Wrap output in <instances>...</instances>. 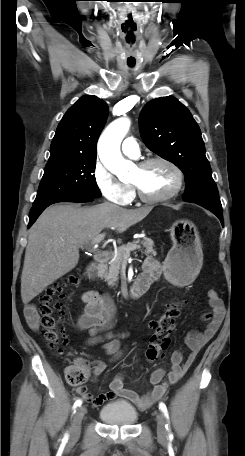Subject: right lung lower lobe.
<instances>
[{
	"instance_id": "obj_1",
	"label": "right lung lower lobe",
	"mask_w": 245,
	"mask_h": 456,
	"mask_svg": "<svg viewBox=\"0 0 245 456\" xmlns=\"http://www.w3.org/2000/svg\"><path fill=\"white\" fill-rule=\"evenodd\" d=\"M92 200H93V197H90V196L71 197V198H66V199H61V200H57L54 202L46 203V204L39 205V206H33L31 209V212H30V216H29L28 228L36 221V219L44 211V209L47 208L51 204L58 203V202H89Z\"/></svg>"
}]
</instances>
